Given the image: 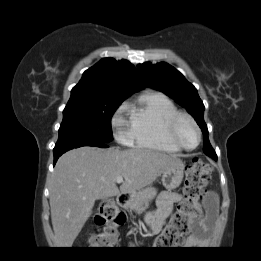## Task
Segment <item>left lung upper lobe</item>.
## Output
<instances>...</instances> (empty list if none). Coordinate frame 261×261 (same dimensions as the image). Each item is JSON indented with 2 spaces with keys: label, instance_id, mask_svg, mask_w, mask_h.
<instances>
[{
  "label": "left lung upper lobe",
  "instance_id": "5c2ea615",
  "mask_svg": "<svg viewBox=\"0 0 261 261\" xmlns=\"http://www.w3.org/2000/svg\"><path fill=\"white\" fill-rule=\"evenodd\" d=\"M137 67L144 83L148 87L165 93L185 107L188 113L194 117L205 137L204 153L217 160V155L207 137L208 130L203 118L205 107L195 87L179 71L167 63L160 62L152 65L146 62L139 64Z\"/></svg>",
  "mask_w": 261,
  "mask_h": 261
}]
</instances>
